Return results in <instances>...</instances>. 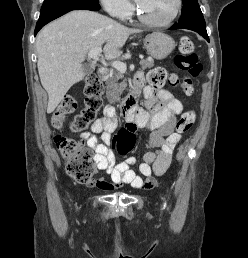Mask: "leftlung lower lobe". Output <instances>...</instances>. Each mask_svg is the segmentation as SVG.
<instances>
[{
    "label": "left lung lower lobe",
    "instance_id": "left-lung-lower-lobe-1",
    "mask_svg": "<svg viewBox=\"0 0 248 258\" xmlns=\"http://www.w3.org/2000/svg\"><path fill=\"white\" fill-rule=\"evenodd\" d=\"M175 29L193 30V31L199 33L201 36H203L209 42V37L207 35L206 25H205V20L204 19L190 21L186 24L176 23L170 28V30H175Z\"/></svg>",
    "mask_w": 248,
    "mask_h": 258
}]
</instances>
